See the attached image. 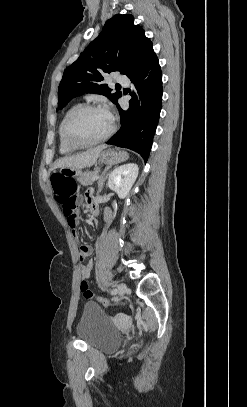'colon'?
<instances>
[{"instance_id": "obj_1", "label": "colon", "mask_w": 247, "mask_h": 407, "mask_svg": "<svg viewBox=\"0 0 247 407\" xmlns=\"http://www.w3.org/2000/svg\"><path fill=\"white\" fill-rule=\"evenodd\" d=\"M51 185L54 198L60 204L73 197L77 189V185L74 180L68 179L61 174H55L51 177ZM80 289L84 298L87 300L95 299L98 303L105 307H114L120 305L119 302L112 301L107 298L95 297L86 280H82Z\"/></svg>"}]
</instances>
